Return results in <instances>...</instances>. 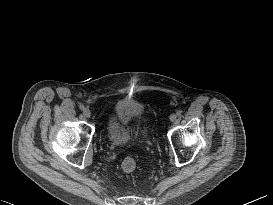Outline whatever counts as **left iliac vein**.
Masks as SVG:
<instances>
[{"label": "left iliac vein", "mask_w": 273, "mask_h": 205, "mask_svg": "<svg viewBox=\"0 0 273 205\" xmlns=\"http://www.w3.org/2000/svg\"><path fill=\"white\" fill-rule=\"evenodd\" d=\"M169 119H170V121H172V122L176 121V119H177L176 114H171L170 117H169Z\"/></svg>", "instance_id": "4c4485c4"}]
</instances>
